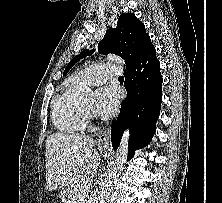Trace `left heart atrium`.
<instances>
[{"label":"left heart atrium","instance_id":"obj_1","mask_svg":"<svg viewBox=\"0 0 222 203\" xmlns=\"http://www.w3.org/2000/svg\"><path fill=\"white\" fill-rule=\"evenodd\" d=\"M118 108V95L111 87L100 88L95 96L94 111L101 116H111Z\"/></svg>","mask_w":222,"mask_h":203}]
</instances>
